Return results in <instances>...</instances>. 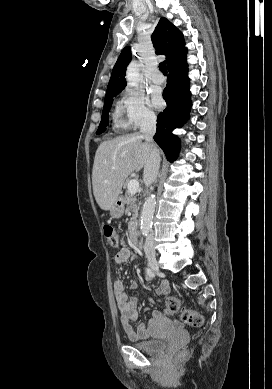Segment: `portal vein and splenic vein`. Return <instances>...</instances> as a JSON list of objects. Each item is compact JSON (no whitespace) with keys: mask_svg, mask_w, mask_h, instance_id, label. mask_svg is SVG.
<instances>
[{"mask_svg":"<svg viewBox=\"0 0 272 389\" xmlns=\"http://www.w3.org/2000/svg\"><path fill=\"white\" fill-rule=\"evenodd\" d=\"M128 192L131 193V194H135L138 192L139 190V182L135 179L131 180L129 183H128Z\"/></svg>","mask_w":272,"mask_h":389,"instance_id":"portal-vein-and-splenic-vein-1","label":"portal vein and splenic vein"}]
</instances>
